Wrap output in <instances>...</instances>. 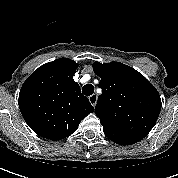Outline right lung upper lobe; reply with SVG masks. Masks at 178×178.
<instances>
[{
  "instance_id": "1",
  "label": "right lung upper lobe",
  "mask_w": 178,
  "mask_h": 178,
  "mask_svg": "<svg viewBox=\"0 0 178 178\" xmlns=\"http://www.w3.org/2000/svg\"><path fill=\"white\" fill-rule=\"evenodd\" d=\"M77 64L60 58L34 71L19 94V108L29 127L39 136L60 140L76 131L94 111L73 80Z\"/></svg>"
}]
</instances>
